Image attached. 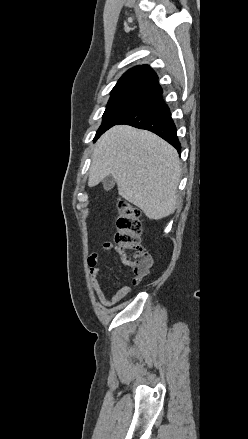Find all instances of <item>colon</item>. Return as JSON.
<instances>
[{"instance_id":"5ec220e1","label":"colon","mask_w":248,"mask_h":439,"mask_svg":"<svg viewBox=\"0 0 248 439\" xmlns=\"http://www.w3.org/2000/svg\"><path fill=\"white\" fill-rule=\"evenodd\" d=\"M118 218L114 247L120 254L122 263L130 268L137 282L147 275L152 260L140 240L142 223L138 208L127 200L118 201Z\"/></svg>"}]
</instances>
